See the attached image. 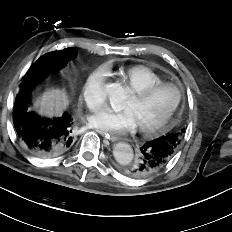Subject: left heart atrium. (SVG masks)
I'll use <instances>...</instances> for the list:
<instances>
[{
  "mask_svg": "<svg viewBox=\"0 0 232 232\" xmlns=\"http://www.w3.org/2000/svg\"><path fill=\"white\" fill-rule=\"evenodd\" d=\"M87 123L93 128L114 136H122L137 127L134 116L127 110L115 112L109 109H102L90 115Z\"/></svg>",
  "mask_w": 232,
  "mask_h": 232,
  "instance_id": "1",
  "label": "left heart atrium"
}]
</instances>
